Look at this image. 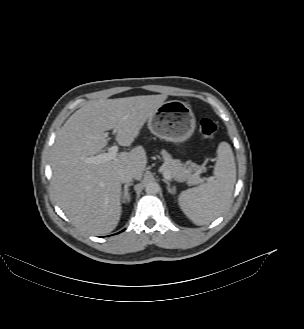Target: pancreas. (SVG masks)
Segmentation results:
<instances>
[{
	"mask_svg": "<svg viewBox=\"0 0 304 329\" xmlns=\"http://www.w3.org/2000/svg\"><path fill=\"white\" fill-rule=\"evenodd\" d=\"M161 153L164 159L163 170L167 171L172 178L179 182H186L189 185L198 184L203 181L199 176V173L205 171L202 166L196 164L187 166V164H183L180 160L173 159L165 150Z\"/></svg>",
	"mask_w": 304,
	"mask_h": 329,
	"instance_id": "obj_1",
	"label": "pancreas"
}]
</instances>
